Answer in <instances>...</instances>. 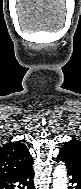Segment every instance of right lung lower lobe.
<instances>
[{
  "label": "right lung lower lobe",
  "mask_w": 81,
  "mask_h": 189,
  "mask_svg": "<svg viewBox=\"0 0 81 189\" xmlns=\"http://www.w3.org/2000/svg\"><path fill=\"white\" fill-rule=\"evenodd\" d=\"M33 161L23 169L0 179V189H34Z\"/></svg>",
  "instance_id": "1"
}]
</instances>
